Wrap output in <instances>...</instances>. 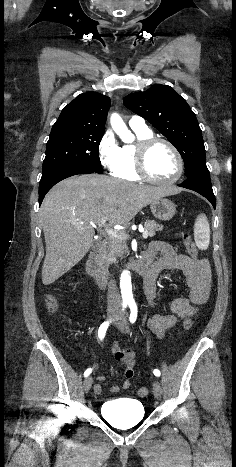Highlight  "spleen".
<instances>
[{
	"instance_id": "obj_1",
	"label": "spleen",
	"mask_w": 236,
	"mask_h": 467,
	"mask_svg": "<svg viewBox=\"0 0 236 467\" xmlns=\"http://www.w3.org/2000/svg\"><path fill=\"white\" fill-rule=\"evenodd\" d=\"M194 240L196 246L201 250H206L210 243V226L207 217L201 214L194 224Z\"/></svg>"
}]
</instances>
